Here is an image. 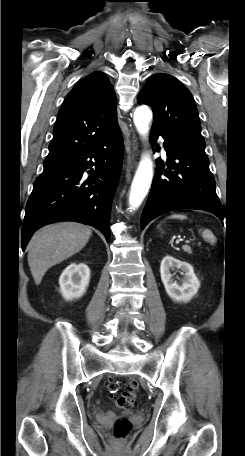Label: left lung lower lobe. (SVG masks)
I'll list each match as a JSON object with an SVG mask.
<instances>
[{
  "mask_svg": "<svg viewBox=\"0 0 245 456\" xmlns=\"http://www.w3.org/2000/svg\"><path fill=\"white\" fill-rule=\"evenodd\" d=\"M162 136L167 169L155 172L151 191L141 216V229L156 217L176 209H200L223 220L205 149L196 147L172 132L152 130L151 144ZM158 165V160L156 161ZM161 167L165 166L160 163Z\"/></svg>",
  "mask_w": 245,
  "mask_h": 456,
  "instance_id": "obj_1",
  "label": "left lung lower lobe"
}]
</instances>
